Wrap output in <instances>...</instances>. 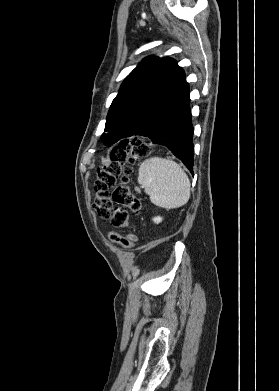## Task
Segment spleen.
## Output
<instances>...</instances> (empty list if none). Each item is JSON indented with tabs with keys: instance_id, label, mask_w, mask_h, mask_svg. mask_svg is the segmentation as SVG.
Masks as SVG:
<instances>
[{
	"instance_id": "1",
	"label": "spleen",
	"mask_w": 279,
	"mask_h": 391,
	"mask_svg": "<svg viewBox=\"0 0 279 391\" xmlns=\"http://www.w3.org/2000/svg\"><path fill=\"white\" fill-rule=\"evenodd\" d=\"M138 183L153 204L165 209L181 207L190 198V180L173 160L151 157L143 161L138 171Z\"/></svg>"
}]
</instances>
